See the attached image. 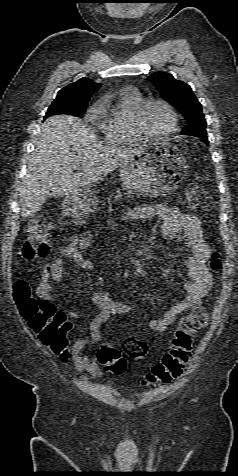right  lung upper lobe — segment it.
Instances as JSON below:
<instances>
[{
  "instance_id": "right-lung-upper-lobe-1",
  "label": "right lung upper lobe",
  "mask_w": 238,
  "mask_h": 476,
  "mask_svg": "<svg viewBox=\"0 0 238 476\" xmlns=\"http://www.w3.org/2000/svg\"><path fill=\"white\" fill-rule=\"evenodd\" d=\"M98 88V83L88 78H81L61 89L56 98L64 97L72 100L74 103L88 104L90 97Z\"/></svg>"
}]
</instances>
